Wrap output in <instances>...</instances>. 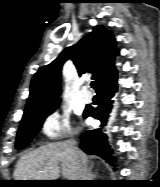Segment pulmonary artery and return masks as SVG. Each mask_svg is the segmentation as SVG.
Returning <instances> with one entry per match:
<instances>
[{"instance_id":"1","label":"pulmonary artery","mask_w":160,"mask_h":187,"mask_svg":"<svg viewBox=\"0 0 160 187\" xmlns=\"http://www.w3.org/2000/svg\"><path fill=\"white\" fill-rule=\"evenodd\" d=\"M81 100L84 102V103H90L92 101V96L91 94L89 93H82L81 94Z\"/></svg>"}]
</instances>
